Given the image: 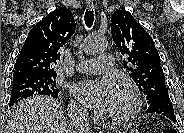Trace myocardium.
I'll use <instances>...</instances> for the list:
<instances>
[{"mask_svg": "<svg viewBox=\"0 0 184 133\" xmlns=\"http://www.w3.org/2000/svg\"><path fill=\"white\" fill-rule=\"evenodd\" d=\"M119 91L127 97L129 108L121 115H110L109 119L117 124H125L138 115L141 109V98L137 88L131 83L124 84Z\"/></svg>", "mask_w": 184, "mask_h": 133, "instance_id": "f54148a6", "label": "myocardium"}]
</instances>
